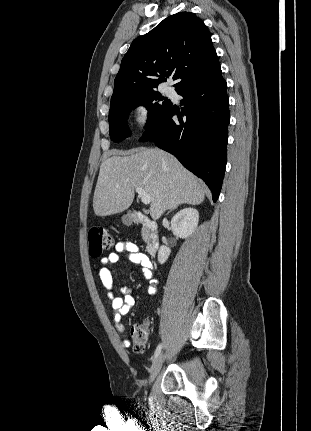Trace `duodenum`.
Listing matches in <instances>:
<instances>
[{"mask_svg":"<svg viewBox=\"0 0 311 431\" xmlns=\"http://www.w3.org/2000/svg\"><path fill=\"white\" fill-rule=\"evenodd\" d=\"M132 219L136 223L141 224L148 231L149 240L147 242L146 249L150 255L155 256L159 250V240L156 235L155 223L150 217L139 210H134L132 212Z\"/></svg>","mask_w":311,"mask_h":431,"instance_id":"obj_1","label":"duodenum"}]
</instances>
